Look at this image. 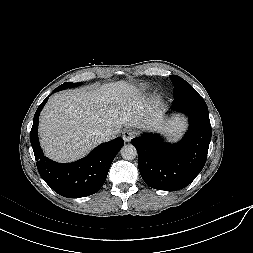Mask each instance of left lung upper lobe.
<instances>
[{"label":"left lung upper lobe","instance_id":"left-lung-upper-lobe-1","mask_svg":"<svg viewBox=\"0 0 253 253\" xmlns=\"http://www.w3.org/2000/svg\"><path fill=\"white\" fill-rule=\"evenodd\" d=\"M170 78L174 85L175 100L191 95L196 92L195 89L181 77L177 75H170Z\"/></svg>","mask_w":253,"mask_h":253}]
</instances>
